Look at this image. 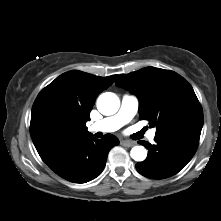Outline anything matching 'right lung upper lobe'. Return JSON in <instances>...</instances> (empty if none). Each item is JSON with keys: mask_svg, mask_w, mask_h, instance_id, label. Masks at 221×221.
<instances>
[{"mask_svg": "<svg viewBox=\"0 0 221 221\" xmlns=\"http://www.w3.org/2000/svg\"><path fill=\"white\" fill-rule=\"evenodd\" d=\"M116 77L72 70L41 90L33 104L30 123L37 151L57 142L90 135L86 127L90 111L97 96L112 85Z\"/></svg>", "mask_w": 221, "mask_h": 221, "instance_id": "cb5924a9", "label": "right lung upper lobe"}]
</instances>
